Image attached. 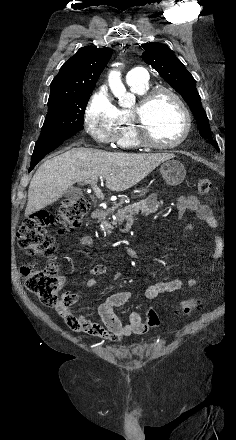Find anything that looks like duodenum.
<instances>
[{
	"mask_svg": "<svg viewBox=\"0 0 236 440\" xmlns=\"http://www.w3.org/2000/svg\"><path fill=\"white\" fill-rule=\"evenodd\" d=\"M107 214V210L102 207H97L92 212V218L94 220H99Z\"/></svg>",
	"mask_w": 236,
	"mask_h": 440,
	"instance_id": "1",
	"label": "duodenum"
}]
</instances>
